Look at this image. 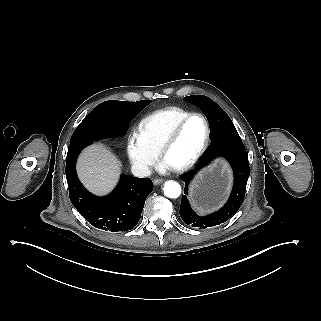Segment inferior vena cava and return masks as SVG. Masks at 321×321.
Instances as JSON below:
<instances>
[{
  "label": "inferior vena cava",
  "mask_w": 321,
  "mask_h": 321,
  "mask_svg": "<svg viewBox=\"0 0 321 321\" xmlns=\"http://www.w3.org/2000/svg\"><path fill=\"white\" fill-rule=\"evenodd\" d=\"M132 173L137 177H148L152 172L148 166L137 163L132 165Z\"/></svg>",
  "instance_id": "602c4592"
}]
</instances>
